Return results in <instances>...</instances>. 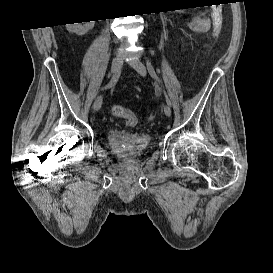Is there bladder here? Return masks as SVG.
Masks as SVG:
<instances>
[{"mask_svg":"<svg viewBox=\"0 0 273 273\" xmlns=\"http://www.w3.org/2000/svg\"><path fill=\"white\" fill-rule=\"evenodd\" d=\"M106 140L111 153L123 161L138 159L151 144V139L146 134L120 129H109Z\"/></svg>","mask_w":273,"mask_h":273,"instance_id":"1","label":"bladder"}]
</instances>
